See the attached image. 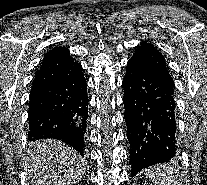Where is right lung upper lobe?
Returning <instances> with one entry per match:
<instances>
[{
  "instance_id": "cb5924a9",
  "label": "right lung upper lobe",
  "mask_w": 207,
  "mask_h": 185,
  "mask_svg": "<svg viewBox=\"0 0 207 185\" xmlns=\"http://www.w3.org/2000/svg\"><path fill=\"white\" fill-rule=\"evenodd\" d=\"M81 71V65L70 57L67 48L56 47L50 50L42 60L31 91L46 88L59 80L73 77Z\"/></svg>"
}]
</instances>
